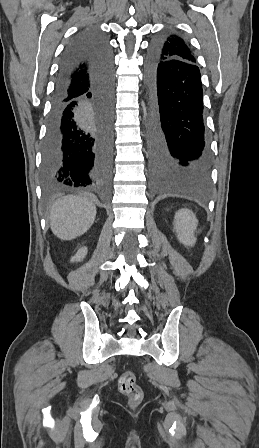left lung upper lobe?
I'll list each match as a JSON object with an SVG mask.
<instances>
[{
  "mask_svg": "<svg viewBox=\"0 0 259 448\" xmlns=\"http://www.w3.org/2000/svg\"><path fill=\"white\" fill-rule=\"evenodd\" d=\"M154 53L159 60L177 59L192 64L197 63L189 44L175 33L164 36L154 49Z\"/></svg>",
  "mask_w": 259,
  "mask_h": 448,
  "instance_id": "5c2ea615",
  "label": "left lung upper lobe"
}]
</instances>
